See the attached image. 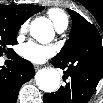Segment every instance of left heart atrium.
<instances>
[{"label": "left heart atrium", "mask_w": 103, "mask_h": 103, "mask_svg": "<svg viewBox=\"0 0 103 103\" xmlns=\"http://www.w3.org/2000/svg\"><path fill=\"white\" fill-rule=\"evenodd\" d=\"M19 53L33 63H42L54 54V49L51 46L29 41L20 46Z\"/></svg>", "instance_id": "1"}]
</instances>
